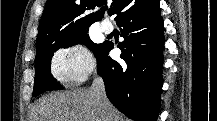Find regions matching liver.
I'll return each mask as SVG.
<instances>
[{
  "label": "liver",
  "mask_w": 217,
  "mask_h": 121,
  "mask_svg": "<svg viewBox=\"0 0 217 121\" xmlns=\"http://www.w3.org/2000/svg\"><path fill=\"white\" fill-rule=\"evenodd\" d=\"M31 121H123L120 113L107 100L96 103L91 90L58 92L43 97L31 115Z\"/></svg>",
  "instance_id": "6515ba94"
}]
</instances>
